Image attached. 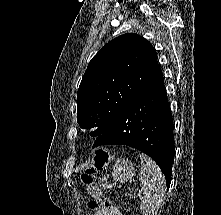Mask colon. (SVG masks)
<instances>
[{
    "mask_svg": "<svg viewBox=\"0 0 221 215\" xmlns=\"http://www.w3.org/2000/svg\"><path fill=\"white\" fill-rule=\"evenodd\" d=\"M110 162V156L107 150L97 149L93 153V163L81 176L83 184L87 188V192L91 197L89 209L92 211H100L108 208L109 202L102 195L96 184V174L99 170L105 168Z\"/></svg>",
    "mask_w": 221,
    "mask_h": 215,
    "instance_id": "5ec220e1",
    "label": "colon"
}]
</instances>
